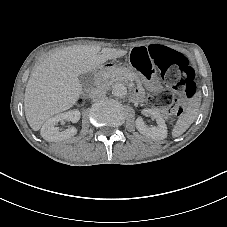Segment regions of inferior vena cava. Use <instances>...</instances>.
<instances>
[{"instance_id":"inferior-vena-cava-1","label":"inferior vena cava","mask_w":227,"mask_h":227,"mask_svg":"<svg viewBox=\"0 0 227 227\" xmlns=\"http://www.w3.org/2000/svg\"><path fill=\"white\" fill-rule=\"evenodd\" d=\"M105 93H106V89H104L102 87H97V88H94V89L90 90V95L93 98L102 97V96L105 95Z\"/></svg>"}]
</instances>
